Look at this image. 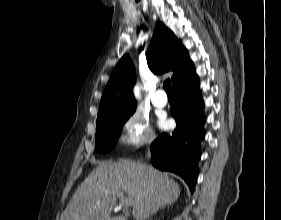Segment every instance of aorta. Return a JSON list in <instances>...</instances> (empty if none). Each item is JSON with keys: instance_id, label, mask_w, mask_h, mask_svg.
<instances>
[{"instance_id": "obj_1", "label": "aorta", "mask_w": 281, "mask_h": 220, "mask_svg": "<svg viewBox=\"0 0 281 220\" xmlns=\"http://www.w3.org/2000/svg\"><path fill=\"white\" fill-rule=\"evenodd\" d=\"M134 94L137 99H140V87L138 85H136L134 88Z\"/></svg>"}]
</instances>
